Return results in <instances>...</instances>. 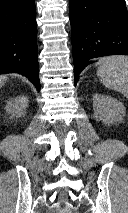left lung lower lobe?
Masks as SVG:
<instances>
[{"instance_id":"1","label":"left lung lower lobe","mask_w":128,"mask_h":213,"mask_svg":"<svg viewBox=\"0 0 128 213\" xmlns=\"http://www.w3.org/2000/svg\"><path fill=\"white\" fill-rule=\"evenodd\" d=\"M69 11L76 85L88 60L128 55V12L125 0H70Z\"/></svg>"}]
</instances>
